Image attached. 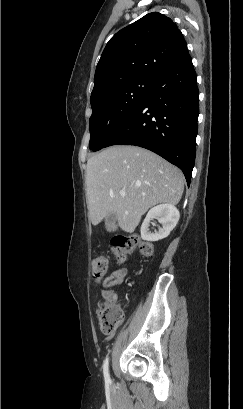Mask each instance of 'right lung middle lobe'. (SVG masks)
Segmentation results:
<instances>
[{"instance_id":"obj_1","label":"right lung middle lobe","mask_w":243,"mask_h":409,"mask_svg":"<svg viewBox=\"0 0 243 409\" xmlns=\"http://www.w3.org/2000/svg\"><path fill=\"white\" fill-rule=\"evenodd\" d=\"M153 85L154 82L144 80L127 82L91 103V150L106 147L114 133L141 105Z\"/></svg>"}]
</instances>
